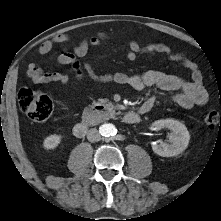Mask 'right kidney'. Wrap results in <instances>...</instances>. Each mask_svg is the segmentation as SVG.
Segmentation results:
<instances>
[{
  "label": "right kidney",
  "instance_id": "1",
  "mask_svg": "<svg viewBox=\"0 0 221 221\" xmlns=\"http://www.w3.org/2000/svg\"><path fill=\"white\" fill-rule=\"evenodd\" d=\"M60 142H61V136L54 134L44 139L43 146L46 149H54L59 145Z\"/></svg>",
  "mask_w": 221,
  "mask_h": 221
}]
</instances>
